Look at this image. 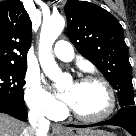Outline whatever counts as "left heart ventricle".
Instances as JSON below:
<instances>
[{
  "mask_svg": "<svg viewBox=\"0 0 136 136\" xmlns=\"http://www.w3.org/2000/svg\"><path fill=\"white\" fill-rule=\"evenodd\" d=\"M67 91L73 94L71 107L84 116H96L103 113L108 106V94L98 82L70 83Z\"/></svg>",
  "mask_w": 136,
  "mask_h": 136,
  "instance_id": "left-heart-ventricle-1",
  "label": "left heart ventricle"
}]
</instances>
